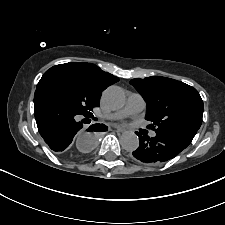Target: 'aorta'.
I'll use <instances>...</instances> for the list:
<instances>
[{
    "instance_id": "obj_1",
    "label": "aorta",
    "mask_w": 225,
    "mask_h": 225,
    "mask_svg": "<svg viewBox=\"0 0 225 225\" xmlns=\"http://www.w3.org/2000/svg\"><path fill=\"white\" fill-rule=\"evenodd\" d=\"M103 100L110 109H119L125 105L126 96L122 88L118 86L108 87L103 93ZM121 146L127 151L136 150L139 146V139L132 131H125L120 138Z\"/></svg>"
}]
</instances>
